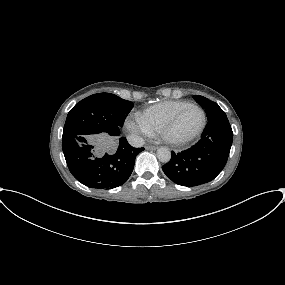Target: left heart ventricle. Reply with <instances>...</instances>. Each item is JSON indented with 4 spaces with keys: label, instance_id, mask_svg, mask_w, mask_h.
I'll return each mask as SVG.
<instances>
[{
    "label": "left heart ventricle",
    "instance_id": "obj_1",
    "mask_svg": "<svg viewBox=\"0 0 285 285\" xmlns=\"http://www.w3.org/2000/svg\"><path fill=\"white\" fill-rule=\"evenodd\" d=\"M201 122L202 114L200 111L190 108L183 114L177 126L172 131V135L176 138L189 136L199 128Z\"/></svg>",
    "mask_w": 285,
    "mask_h": 285
}]
</instances>
